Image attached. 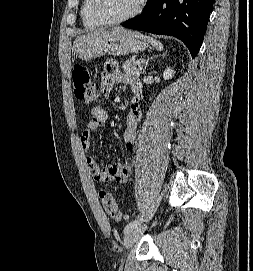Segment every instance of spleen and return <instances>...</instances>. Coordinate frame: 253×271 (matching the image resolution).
I'll use <instances>...</instances> for the list:
<instances>
[{"label": "spleen", "instance_id": "obj_1", "mask_svg": "<svg viewBox=\"0 0 253 271\" xmlns=\"http://www.w3.org/2000/svg\"><path fill=\"white\" fill-rule=\"evenodd\" d=\"M148 41L153 45V47H155L158 50H162L163 49V45L160 41H157L156 39L152 38V37H147Z\"/></svg>", "mask_w": 253, "mask_h": 271}]
</instances>
